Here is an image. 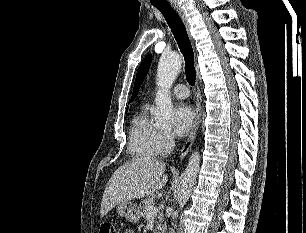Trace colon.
I'll return each mask as SVG.
<instances>
[{"mask_svg": "<svg viewBox=\"0 0 306 233\" xmlns=\"http://www.w3.org/2000/svg\"><path fill=\"white\" fill-rule=\"evenodd\" d=\"M100 233H116V231L111 223H103L100 227ZM126 233H131V231H127Z\"/></svg>", "mask_w": 306, "mask_h": 233, "instance_id": "5ec220e1", "label": "colon"}]
</instances>
